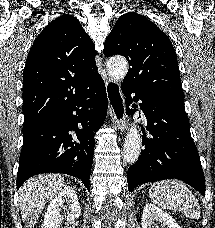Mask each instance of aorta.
Instances as JSON below:
<instances>
[{
    "label": "aorta",
    "mask_w": 215,
    "mask_h": 228,
    "mask_svg": "<svg viewBox=\"0 0 215 228\" xmlns=\"http://www.w3.org/2000/svg\"><path fill=\"white\" fill-rule=\"evenodd\" d=\"M108 74L114 80H124L128 70L129 64L125 58H111L107 64ZM142 138L135 126L131 124L127 130V136L124 144V160L128 164L137 162L141 152Z\"/></svg>",
    "instance_id": "762f6f07"
}]
</instances>
